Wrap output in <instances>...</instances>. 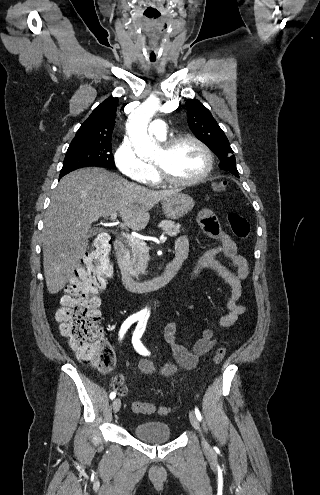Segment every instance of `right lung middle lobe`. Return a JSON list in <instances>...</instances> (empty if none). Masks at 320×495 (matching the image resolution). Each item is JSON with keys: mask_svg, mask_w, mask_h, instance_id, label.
I'll return each instance as SVG.
<instances>
[{"mask_svg": "<svg viewBox=\"0 0 320 495\" xmlns=\"http://www.w3.org/2000/svg\"><path fill=\"white\" fill-rule=\"evenodd\" d=\"M90 166L116 168L111 143L70 144L64 159L60 178L73 170Z\"/></svg>", "mask_w": 320, "mask_h": 495, "instance_id": "right-lung-middle-lobe-1", "label": "right lung middle lobe"}]
</instances>
